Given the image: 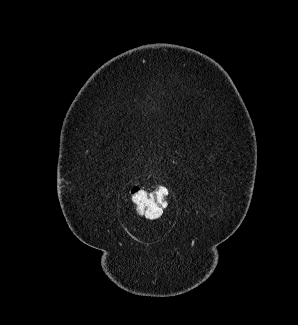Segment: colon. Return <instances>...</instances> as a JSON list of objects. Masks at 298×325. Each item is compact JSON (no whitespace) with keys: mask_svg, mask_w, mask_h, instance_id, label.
Instances as JSON below:
<instances>
[{"mask_svg":"<svg viewBox=\"0 0 298 325\" xmlns=\"http://www.w3.org/2000/svg\"><path fill=\"white\" fill-rule=\"evenodd\" d=\"M167 195V190L161 187L152 190L134 187L130 191L131 201L136 213L148 218L160 215L166 204Z\"/></svg>","mask_w":298,"mask_h":325,"instance_id":"1","label":"colon"}]
</instances>
